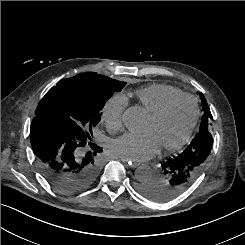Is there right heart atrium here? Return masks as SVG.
<instances>
[{"mask_svg": "<svg viewBox=\"0 0 245 245\" xmlns=\"http://www.w3.org/2000/svg\"><path fill=\"white\" fill-rule=\"evenodd\" d=\"M127 104V99L121 95H114L105 102L102 108V119L110 131L116 132L122 128L123 112Z\"/></svg>", "mask_w": 245, "mask_h": 245, "instance_id": "d8ad5b80", "label": "right heart atrium"}]
</instances>
